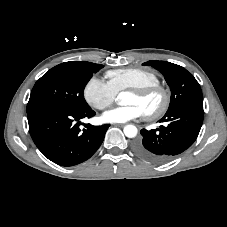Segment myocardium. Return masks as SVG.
<instances>
[{
  "instance_id": "f54148a6",
  "label": "myocardium",
  "mask_w": 227,
  "mask_h": 227,
  "mask_svg": "<svg viewBox=\"0 0 227 227\" xmlns=\"http://www.w3.org/2000/svg\"><path fill=\"white\" fill-rule=\"evenodd\" d=\"M129 93L134 94L139 98H146L158 94L161 98L160 105L153 111L144 113L148 120H156L162 117L168 110L171 102V95L169 90L161 84L149 85L141 88L129 89Z\"/></svg>"
}]
</instances>
